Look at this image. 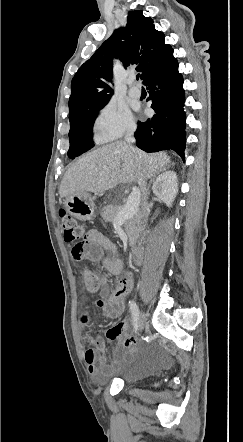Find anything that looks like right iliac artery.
Returning a JSON list of instances; mask_svg holds the SVG:
<instances>
[{"mask_svg":"<svg viewBox=\"0 0 243 442\" xmlns=\"http://www.w3.org/2000/svg\"><path fill=\"white\" fill-rule=\"evenodd\" d=\"M129 310L132 315L133 323L137 324L138 317H139V310L134 301H129Z\"/></svg>","mask_w":243,"mask_h":442,"instance_id":"82829eb1","label":"right iliac artery"}]
</instances>
